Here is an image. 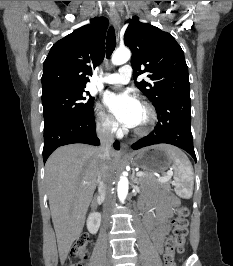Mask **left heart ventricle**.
Here are the masks:
<instances>
[{
	"instance_id": "obj_1",
	"label": "left heart ventricle",
	"mask_w": 233,
	"mask_h": 266,
	"mask_svg": "<svg viewBox=\"0 0 233 266\" xmlns=\"http://www.w3.org/2000/svg\"><path fill=\"white\" fill-rule=\"evenodd\" d=\"M148 120V115L146 110L140 106L139 115H138V121L136 124V128L143 126Z\"/></svg>"
}]
</instances>
